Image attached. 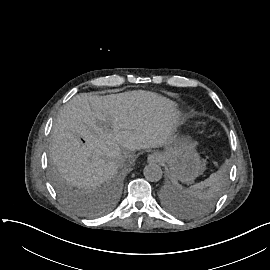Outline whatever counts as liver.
I'll return each instance as SVG.
<instances>
[{
    "mask_svg": "<svg viewBox=\"0 0 270 270\" xmlns=\"http://www.w3.org/2000/svg\"><path fill=\"white\" fill-rule=\"evenodd\" d=\"M174 108L173 102L145 91L78 94L53 124L51 161L68 183L97 188L112 179L129 152L172 143L178 124L164 117Z\"/></svg>",
    "mask_w": 270,
    "mask_h": 270,
    "instance_id": "obj_1",
    "label": "liver"
}]
</instances>
